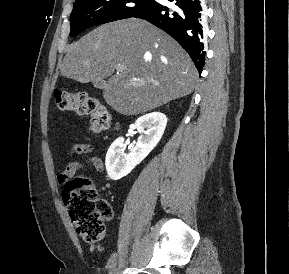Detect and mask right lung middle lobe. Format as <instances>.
<instances>
[{
  "label": "right lung middle lobe",
  "mask_w": 289,
  "mask_h": 274,
  "mask_svg": "<svg viewBox=\"0 0 289 274\" xmlns=\"http://www.w3.org/2000/svg\"><path fill=\"white\" fill-rule=\"evenodd\" d=\"M154 0H76L70 16L71 32L75 37L93 25L139 15Z\"/></svg>",
  "instance_id": "1"
}]
</instances>
